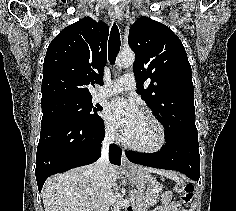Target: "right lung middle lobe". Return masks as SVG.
I'll list each match as a JSON object with an SVG mask.
<instances>
[{
	"label": "right lung middle lobe",
	"mask_w": 236,
	"mask_h": 211,
	"mask_svg": "<svg viewBox=\"0 0 236 211\" xmlns=\"http://www.w3.org/2000/svg\"><path fill=\"white\" fill-rule=\"evenodd\" d=\"M92 98H58L42 104L43 117L45 118H65L89 125H97L102 122L97 111L101 107H93Z\"/></svg>",
	"instance_id": "obj_1"
}]
</instances>
